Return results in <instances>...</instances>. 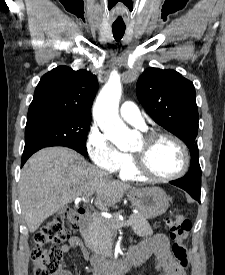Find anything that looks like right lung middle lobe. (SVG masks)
I'll use <instances>...</instances> for the list:
<instances>
[{"label":"right lung middle lobe","mask_w":225,"mask_h":275,"mask_svg":"<svg viewBox=\"0 0 225 275\" xmlns=\"http://www.w3.org/2000/svg\"><path fill=\"white\" fill-rule=\"evenodd\" d=\"M89 116L46 114L27 118L24 152L65 146L87 156L85 140Z\"/></svg>","instance_id":"dd1d6c3e"}]
</instances>
